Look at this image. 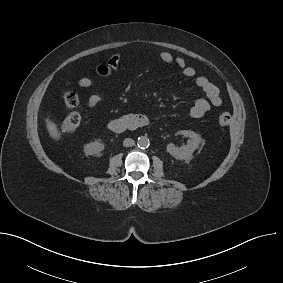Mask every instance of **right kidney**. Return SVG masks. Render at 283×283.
<instances>
[{
    "mask_svg": "<svg viewBox=\"0 0 283 283\" xmlns=\"http://www.w3.org/2000/svg\"><path fill=\"white\" fill-rule=\"evenodd\" d=\"M104 148V144L101 142H91L84 146V153L85 155H99Z\"/></svg>",
    "mask_w": 283,
    "mask_h": 283,
    "instance_id": "1",
    "label": "right kidney"
}]
</instances>
